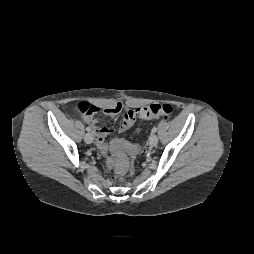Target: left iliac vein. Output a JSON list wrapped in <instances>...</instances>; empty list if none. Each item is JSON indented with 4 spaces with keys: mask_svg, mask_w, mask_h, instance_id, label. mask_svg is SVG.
I'll return each mask as SVG.
<instances>
[{
    "mask_svg": "<svg viewBox=\"0 0 254 254\" xmlns=\"http://www.w3.org/2000/svg\"><path fill=\"white\" fill-rule=\"evenodd\" d=\"M148 142H149V145L151 147H154L157 145L158 143V137L156 134L152 133L150 136H149V139H148Z\"/></svg>",
    "mask_w": 254,
    "mask_h": 254,
    "instance_id": "4c4485c4",
    "label": "left iliac vein"
}]
</instances>
